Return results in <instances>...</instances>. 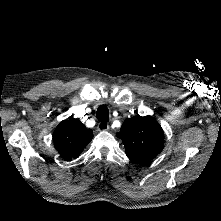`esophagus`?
Returning <instances> with one entry per match:
<instances>
[{
  "instance_id": "1",
  "label": "esophagus",
  "mask_w": 221,
  "mask_h": 221,
  "mask_svg": "<svg viewBox=\"0 0 221 221\" xmlns=\"http://www.w3.org/2000/svg\"><path fill=\"white\" fill-rule=\"evenodd\" d=\"M109 124H107V123H98V125H97V129L99 130V131H107V130H109Z\"/></svg>"
}]
</instances>
